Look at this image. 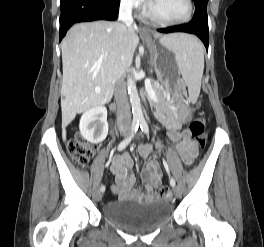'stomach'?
Segmentation results:
<instances>
[{"mask_svg": "<svg viewBox=\"0 0 264 247\" xmlns=\"http://www.w3.org/2000/svg\"><path fill=\"white\" fill-rule=\"evenodd\" d=\"M169 40L165 37L160 39V44H155L149 37H146V41L149 44L151 58L155 67V71L158 76L163 79L168 78L173 83H178L179 79L174 78V75H178L177 63L175 53H170ZM184 113H192V108H184Z\"/></svg>", "mask_w": 264, "mask_h": 247, "instance_id": "0dacf381", "label": "stomach"}]
</instances>
